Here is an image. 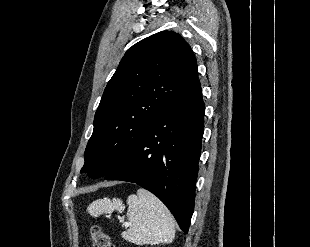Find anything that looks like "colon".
<instances>
[{"label":"colon","mask_w":310,"mask_h":247,"mask_svg":"<svg viewBox=\"0 0 310 247\" xmlns=\"http://www.w3.org/2000/svg\"><path fill=\"white\" fill-rule=\"evenodd\" d=\"M91 242L93 247H114L109 236L97 225L91 228Z\"/></svg>","instance_id":"1"}]
</instances>
